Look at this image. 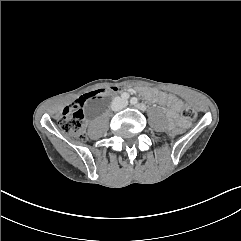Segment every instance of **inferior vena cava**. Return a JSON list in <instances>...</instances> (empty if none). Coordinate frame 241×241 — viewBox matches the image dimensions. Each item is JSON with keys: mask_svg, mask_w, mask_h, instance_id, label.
Segmentation results:
<instances>
[{"mask_svg": "<svg viewBox=\"0 0 241 241\" xmlns=\"http://www.w3.org/2000/svg\"><path fill=\"white\" fill-rule=\"evenodd\" d=\"M128 105V101L127 100H123L120 97H117L114 102L112 103V109L114 111H119L123 108H125Z\"/></svg>", "mask_w": 241, "mask_h": 241, "instance_id": "inferior-vena-cava-1", "label": "inferior vena cava"}]
</instances>
